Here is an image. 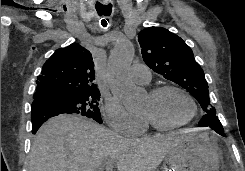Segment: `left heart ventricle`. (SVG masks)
Instances as JSON below:
<instances>
[{
	"label": "left heart ventricle",
	"mask_w": 245,
	"mask_h": 171,
	"mask_svg": "<svg viewBox=\"0 0 245 171\" xmlns=\"http://www.w3.org/2000/svg\"><path fill=\"white\" fill-rule=\"evenodd\" d=\"M143 113H149L158 121L175 124L187 119L191 113V105L184 95L175 90H168L152 98L147 96Z\"/></svg>",
	"instance_id": "b2bd125f"
}]
</instances>
